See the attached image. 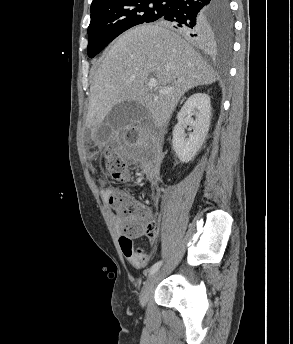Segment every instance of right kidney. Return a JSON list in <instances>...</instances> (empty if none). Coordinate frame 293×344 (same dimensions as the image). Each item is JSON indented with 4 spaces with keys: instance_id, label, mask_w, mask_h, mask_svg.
Instances as JSON below:
<instances>
[{
    "instance_id": "1",
    "label": "right kidney",
    "mask_w": 293,
    "mask_h": 344,
    "mask_svg": "<svg viewBox=\"0 0 293 344\" xmlns=\"http://www.w3.org/2000/svg\"><path fill=\"white\" fill-rule=\"evenodd\" d=\"M195 115V120L192 118ZM178 123L172 132V146L182 163L191 161L202 147L208 134L211 120L210 97L205 93L191 95L177 115ZM193 128L189 138L185 137L184 126Z\"/></svg>"
}]
</instances>
